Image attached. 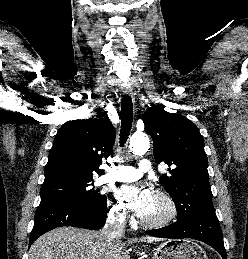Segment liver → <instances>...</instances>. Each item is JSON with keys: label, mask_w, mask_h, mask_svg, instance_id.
Segmentation results:
<instances>
[{"label": "liver", "mask_w": 248, "mask_h": 259, "mask_svg": "<svg viewBox=\"0 0 248 259\" xmlns=\"http://www.w3.org/2000/svg\"><path fill=\"white\" fill-rule=\"evenodd\" d=\"M137 239L128 243H136ZM141 242H158L146 236ZM29 259H130L127 241H109L102 231L59 227L39 237L29 250Z\"/></svg>", "instance_id": "6515ba94"}]
</instances>
